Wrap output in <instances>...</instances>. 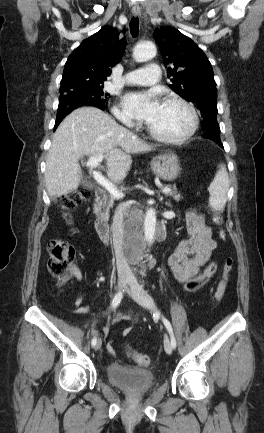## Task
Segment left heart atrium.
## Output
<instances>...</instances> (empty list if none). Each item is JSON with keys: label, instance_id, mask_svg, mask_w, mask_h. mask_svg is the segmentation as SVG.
<instances>
[{"label": "left heart atrium", "instance_id": "left-heart-atrium-1", "mask_svg": "<svg viewBox=\"0 0 264 433\" xmlns=\"http://www.w3.org/2000/svg\"><path fill=\"white\" fill-rule=\"evenodd\" d=\"M124 105L132 115L150 123L157 115L161 102L155 92H138L127 94Z\"/></svg>", "mask_w": 264, "mask_h": 433}]
</instances>
